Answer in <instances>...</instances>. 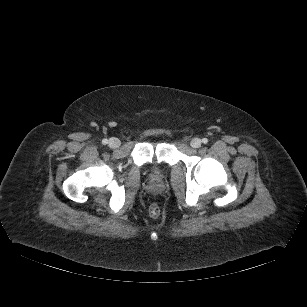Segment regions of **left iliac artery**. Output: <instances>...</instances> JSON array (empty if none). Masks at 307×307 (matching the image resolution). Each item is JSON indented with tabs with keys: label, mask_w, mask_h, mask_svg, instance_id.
Wrapping results in <instances>:
<instances>
[{
	"label": "left iliac artery",
	"mask_w": 307,
	"mask_h": 307,
	"mask_svg": "<svg viewBox=\"0 0 307 307\" xmlns=\"http://www.w3.org/2000/svg\"><path fill=\"white\" fill-rule=\"evenodd\" d=\"M202 142H203L204 144H207V143H208V139H207V138H203V139H202Z\"/></svg>",
	"instance_id": "obj_1"
}]
</instances>
